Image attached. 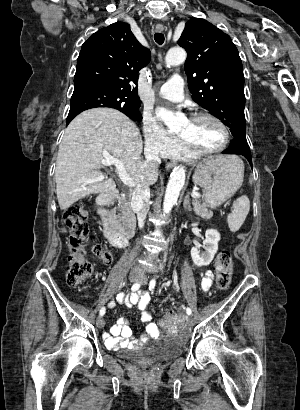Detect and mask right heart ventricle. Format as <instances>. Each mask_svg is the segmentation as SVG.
<instances>
[{
  "mask_svg": "<svg viewBox=\"0 0 300 410\" xmlns=\"http://www.w3.org/2000/svg\"><path fill=\"white\" fill-rule=\"evenodd\" d=\"M170 158L180 161H190L194 156L181 144H179L169 155Z\"/></svg>",
  "mask_w": 300,
  "mask_h": 410,
  "instance_id": "1",
  "label": "right heart ventricle"
}]
</instances>
